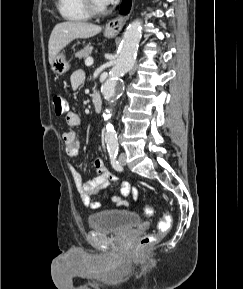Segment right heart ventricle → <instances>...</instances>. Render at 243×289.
I'll return each instance as SVG.
<instances>
[{
	"instance_id": "right-heart-ventricle-1",
	"label": "right heart ventricle",
	"mask_w": 243,
	"mask_h": 289,
	"mask_svg": "<svg viewBox=\"0 0 243 289\" xmlns=\"http://www.w3.org/2000/svg\"><path fill=\"white\" fill-rule=\"evenodd\" d=\"M57 9L60 15L69 21H85L90 16L83 0H57Z\"/></svg>"
}]
</instances>
